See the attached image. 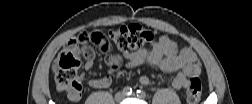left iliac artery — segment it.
I'll return each mask as SVG.
<instances>
[{"label":"left iliac artery","mask_w":252,"mask_h":104,"mask_svg":"<svg viewBox=\"0 0 252 104\" xmlns=\"http://www.w3.org/2000/svg\"><path fill=\"white\" fill-rule=\"evenodd\" d=\"M136 95L139 98H145L146 97V93L143 90H137Z\"/></svg>","instance_id":"44dca946"}]
</instances>
